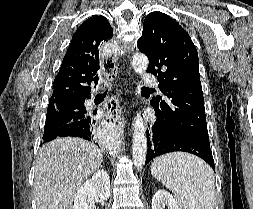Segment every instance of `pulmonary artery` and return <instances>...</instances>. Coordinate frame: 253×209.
<instances>
[{"instance_id":"pulmonary-artery-1","label":"pulmonary artery","mask_w":253,"mask_h":209,"mask_svg":"<svg viewBox=\"0 0 253 209\" xmlns=\"http://www.w3.org/2000/svg\"><path fill=\"white\" fill-rule=\"evenodd\" d=\"M143 81L147 87H151V88L157 87V79L154 76L146 74L143 77Z\"/></svg>"}]
</instances>
